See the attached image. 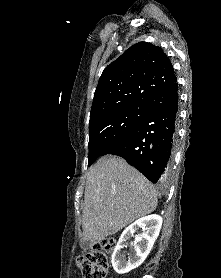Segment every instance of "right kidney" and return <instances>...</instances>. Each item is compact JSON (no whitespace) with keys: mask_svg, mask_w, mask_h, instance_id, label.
Here are the masks:
<instances>
[{"mask_svg":"<svg viewBox=\"0 0 221 278\" xmlns=\"http://www.w3.org/2000/svg\"><path fill=\"white\" fill-rule=\"evenodd\" d=\"M161 226V216L153 214L140 218L123 231L111 258L112 266L118 274L128 273L143 263L159 235ZM139 229H142L143 233L135 236L134 250L127 260L122 249L126 241Z\"/></svg>","mask_w":221,"mask_h":278,"instance_id":"right-kidney-1","label":"right kidney"}]
</instances>
